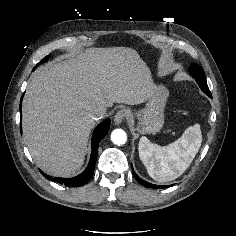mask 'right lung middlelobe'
I'll list each match as a JSON object with an SVG mask.
<instances>
[{"label": "right lung middle lobe", "instance_id": "obj_1", "mask_svg": "<svg viewBox=\"0 0 236 236\" xmlns=\"http://www.w3.org/2000/svg\"><path fill=\"white\" fill-rule=\"evenodd\" d=\"M48 58H49V56H46L44 59H42L41 60V62L40 63H38L37 65H39V64H41V63H44V62H46L47 60H48Z\"/></svg>", "mask_w": 236, "mask_h": 236}]
</instances>
